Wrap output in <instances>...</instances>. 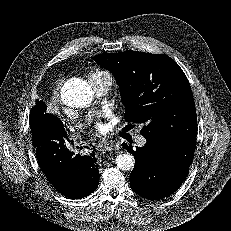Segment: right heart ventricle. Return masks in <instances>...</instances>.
<instances>
[{
    "label": "right heart ventricle",
    "mask_w": 231,
    "mask_h": 231,
    "mask_svg": "<svg viewBox=\"0 0 231 231\" xmlns=\"http://www.w3.org/2000/svg\"><path fill=\"white\" fill-rule=\"evenodd\" d=\"M90 81L101 80V79H110L112 81L111 74L104 69H95L89 75Z\"/></svg>",
    "instance_id": "e07e8e85"
}]
</instances>
